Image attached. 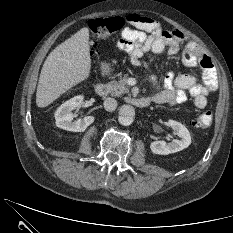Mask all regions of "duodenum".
Masks as SVG:
<instances>
[{
	"instance_id": "obj_1",
	"label": "duodenum",
	"mask_w": 233,
	"mask_h": 233,
	"mask_svg": "<svg viewBox=\"0 0 233 233\" xmlns=\"http://www.w3.org/2000/svg\"><path fill=\"white\" fill-rule=\"evenodd\" d=\"M105 73H107V69L104 70ZM95 92L99 96H106L108 93V87L105 83H98L95 86ZM127 102L138 107V108H145L148 107L151 103L150 98L147 97H127Z\"/></svg>"
}]
</instances>
